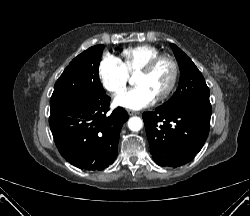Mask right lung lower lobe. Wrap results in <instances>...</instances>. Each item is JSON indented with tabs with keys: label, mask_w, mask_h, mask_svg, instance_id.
<instances>
[{
	"label": "right lung lower lobe",
	"mask_w": 250,
	"mask_h": 216,
	"mask_svg": "<svg viewBox=\"0 0 250 216\" xmlns=\"http://www.w3.org/2000/svg\"><path fill=\"white\" fill-rule=\"evenodd\" d=\"M110 97L71 101L51 111L49 124L61 155L74 166L103 170L117 157L120 131L127 112L116 108L107 114Z\"/></svg>",
	"instance_id": "obj_1"
}]
</instances>
